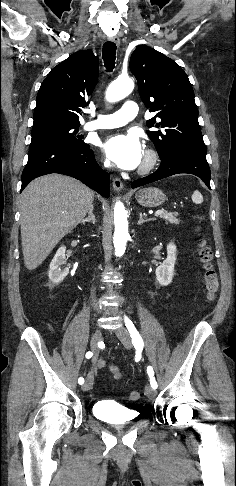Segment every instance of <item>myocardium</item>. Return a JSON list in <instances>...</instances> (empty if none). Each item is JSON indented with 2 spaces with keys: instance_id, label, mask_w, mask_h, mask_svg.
<instances>
[{
  "instance_id": "myocardium-1",
  "label": "myocardium",
  "mask_w": 236,
  "mask_h": 486,
  "mask_svg": "<svg viewBox=\"0 0 236 486\" xmlns=\"http://www.w3.org/2000/svg\"><path fill=\"white\" fill-rule=\"evenodd\" d=\"M159 161V156L157 152L153 149H148L145 152L144 160L138 170L140 175H147L151 173Z\"/></svg>"
}]
</instances>
